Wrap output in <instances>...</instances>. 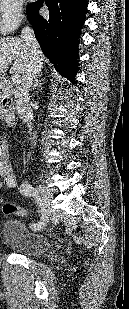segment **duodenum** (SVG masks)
Returning a JSON list of instances; mask_svg holds the SVG:
<instances>
[{
	"instance_id": "410a0bca",
	"label": "duodenum",
	"mask_w": 129,
	"mask_h": 309,
	"mask_svg": "<svg viewBox=\"0 0 129 309\" xmlns=\"http://www.w3.org/2000/svg\"><path fill=\"white\" fill-rule=\"evenodd\" d=\"M0 117L8 125L15 123V113L12 101H3L0 106Z\"/></svg>"
}]
</instances>
